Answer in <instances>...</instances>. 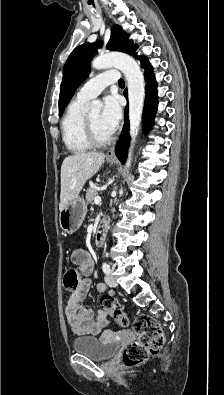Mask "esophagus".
<instances>
[{
  "label": "esophagus",
  "mask_w": 224,
  "mask_h": 395,
  "mask_svg": "<svg viewBox=\"0 0 224 395\" xmlns=\"http://www.w3.org/2000/svg\"><path fill=\"white\" fill-rule=\"evenodd\" d=\"M107 159H115V146H112L106 154Z\"/></svg>",
  "instance_id": "obj_1"
}]
</instances>
